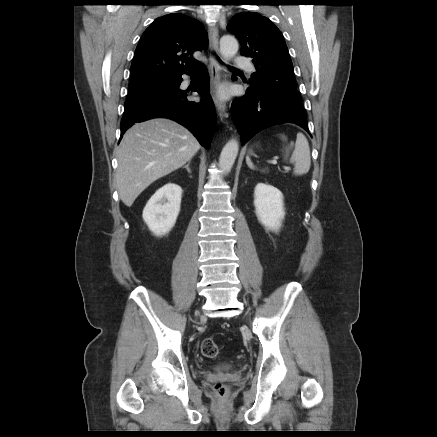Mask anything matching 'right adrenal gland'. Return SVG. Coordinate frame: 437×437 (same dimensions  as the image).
<instances>
[{
    "mask_svg": "<svg viewBox=\"0 0 437 437\" xmlns=\"http://www.w3.org/2000/svg\"><path fill=\"white\" fill-rule=\"evenodd\" d=\"M190 163H191V162L188 161V163L184 166V168H186V170H187L188 173H191V170H190V167H189V166H190Z\"/></svg>",
    "mask_w": 437,
    "mask_h": 437,
    "instance_id": "right-adrenal-gland-1",
    "label": "right adrenal gland"
}]
</instances>
